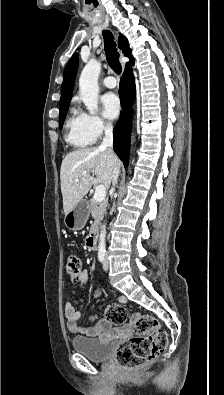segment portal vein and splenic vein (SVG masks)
I'll use <instances>...</instances> for the list:
<instances>
[{
    "mask_svg": "<svg viewBox=\"0 0 224 395\" xmlns=\"http://www.w3.org/2000/svg\"><path fill=\"white\" fill-rule=\"evenodd\" d=\"M85 174H87V172H83L82 173V175H85ZM105 197H106V188H105V186L104 185H98L95 188V193H94V197L93 198L97 202H101V201H103L105 199Z\"/></svg>",
    "mask_w": 224,
    "mask_h": 395,
    "instance_id": "obj_1",
    "label": "portal vein and splenic vein"
}]
</instances>
